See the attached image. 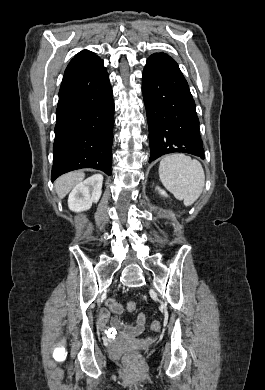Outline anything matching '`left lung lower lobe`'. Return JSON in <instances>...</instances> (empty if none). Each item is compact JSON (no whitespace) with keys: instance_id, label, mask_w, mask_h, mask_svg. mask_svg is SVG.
<instances>
[{"instance_id":"obj_1","label":"left lung lower lobe","mask_w":265,"mask_h":390,"mask_svg":"<svg viewBox=\"0 0 265 390\" xmlns=\"http://www.w3.org/2000/svg\"><path fill=\"white\" fill-rule=\"evenodd\" d=\"M142 91L149 124V162L170 153L205 158L195 102L178 64L155 53L143 70Z\"/></svg>"}]
</instances>
